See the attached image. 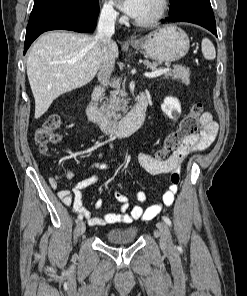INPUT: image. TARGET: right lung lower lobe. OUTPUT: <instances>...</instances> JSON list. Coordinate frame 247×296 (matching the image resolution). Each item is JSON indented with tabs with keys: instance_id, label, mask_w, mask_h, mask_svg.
Here are the masks:
<instances>
[{
	"instance_id": "98d812e1",
	"label": "right lung lower lobe",
	"mask_w": 247,
	"mask_h": 296,
	"mask_svg": "<svg viewBox=\"0 0 247 296\" xmlns=\"http://www.w3.org/2000/svg\"><path fill=\"white\" fill-rule=\"evenodd\" d=\"M98 13L99 7L95 10H85L80 8L75 0H58L33 9L27 25L24 54L32 42L45 31H93Z\"/></svg>"
}]
</instances>
